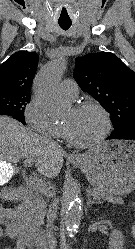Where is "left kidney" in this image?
I'll return each mask as SVG.
<instances>
[{
  "instance_id": "left-kidney-1",
  "label": "left kidney",
  "mask_w": 135,
  "mask_h": 249,
  "mask_svg": "<svg viewBox=\"0 0 135 249\" xmlns=\"http://www.w3.org/2000/svg\"><path fill=\"white\" fill-rule=\"evenodd\" d=\"M124 238L119 230H113L109 237V249H123Z\"/></svg>"
}]
</instances>
